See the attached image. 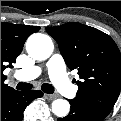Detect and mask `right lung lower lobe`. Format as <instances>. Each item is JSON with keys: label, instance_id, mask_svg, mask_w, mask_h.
Segmentation results:
<instances>
[{"label": "right lung lower lobe", "instance_id": "obj_1", "mask_svg": "<svg viewBox=\"0 0 121 121\" xmlns=\"http://www.w3.org/2000/svg\"><path fill=\"white\" fill-rule=\"evenodd\" d=\"M43 93L39 90H12L1 95V121H21L26 106Z\"/></svg>", "mask_w": 121, "mask_h": 121}]
</instances>
